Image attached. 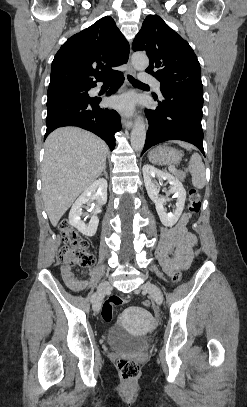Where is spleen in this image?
Here are the masks:
<instances>
[{
    "instance_id": "obj_1",
    "label": "spleen",
    "mask_w": 247,
    "mask_h": 407,
    "mask_svg": "<svg viewBox=\"0 0 247 407\" xmlns=\"http://www.w3.org/2000/svg\"><path fill=\"white\" fill-rule=\"evenodd\" d=\"M179 145L186 148L187 150H191L192 147L189 144L179 142ZM189 172L192 176V185L197 189H202L205 186V167L202 162V159L198 153H194L191 156L189 162Z\"/></svg>"
}]
</instances>
